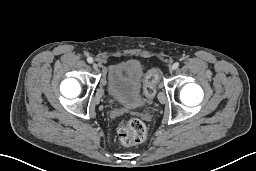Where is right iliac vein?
I'll return each instance as SVG.
<instances>
[{
	"label": "right iliac vein",
	"instance_id": "obj_1",
	"mask_svg": "<svg viewBox=\"0 0 256 171\" xmlns=\"http://www.w3.org/2000/svg\"><path fill=\"white\" fill-rule=\"evenodd\" d=\"M93 69L95 70V71H98V64L97 63H93Z\"/></svg>",
	"mask_w": 256,
	"mask_h": 171
}]
</instances>
